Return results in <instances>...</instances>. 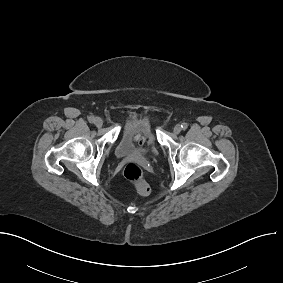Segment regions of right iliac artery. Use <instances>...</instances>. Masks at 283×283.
Instances as JSON below:
<instances>
[{"instance_id": "right-iliac-artery-1", "label": "right iliac artery", "mask_w": 283, "mask_h": 283, "mask_svg": "<svg viewBox=\"0 0 283 283\" xmlns=\"http://www.w3.org/2000/svg\"><path fill=\"white\" fill-rule=\"evenodd\" d=\"M94 120H95V118H94L93 116H89V117H88V121H89L90 123H93Z\"/></svg>"}]
</instances>
